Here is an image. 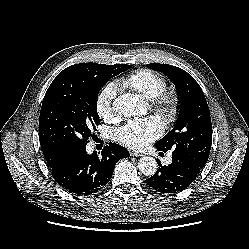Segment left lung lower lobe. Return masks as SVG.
Here are the masks:
<instances>
[{
    "instance_id": "1",
    "label": "left lung lower lobe",
    "mask_w": 249,
    "mask_h": 249,
    "mask_svg": "<svg viewBox=\"0 0 249 249\" xmlns=\"http://www.w3.org/2000/svg\"><path fill=\"white\" fill-rule=\"evenodd\" d=\"M158 165L159 168L156 174L146 179V183L163 194H174L183 191L192 184L202 170L186 157L175 153H172L171 164L162 166L158 160Z\"/></svg>"
}]
</instances>
